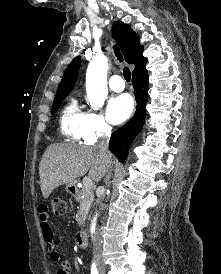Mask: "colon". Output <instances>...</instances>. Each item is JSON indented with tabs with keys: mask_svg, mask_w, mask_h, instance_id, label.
<instances>
[{
	"mask_svg": "<svg viewBox=\"0 0 221 274\" xmlns=\"http://www.w3.org/2000/svg\"><path fill=\"white\" fill-rule=\"evenodd\" d=\"M50 208L56 215L63 214L66 210V200L63 197H55L51 200Z\"/></svg>",
	"mask_w": 221,
	"mask_h": 274,
	"instance_id": "1",
	"label": "colon"
}]
</instances>
